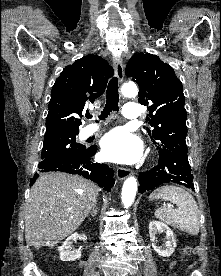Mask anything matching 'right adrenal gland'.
<instances>
[{"mask_svg": "<svg viewBox=\"0 0 221 276\" xmlns=\"http://www.w3.org/2000/svg\"><path fill=\"white\" fill-rule=\"evenodd\" d=\"M98 213V208H97V203L94 204L92 211L87 215V217H89L90 215L92 217H95Z\"/></svg>", "mask_w": 221, "mask_h": 276, "instance_id": "right-adrenal-gland-1", "label": "right adrenal gland"}]
</instances>
